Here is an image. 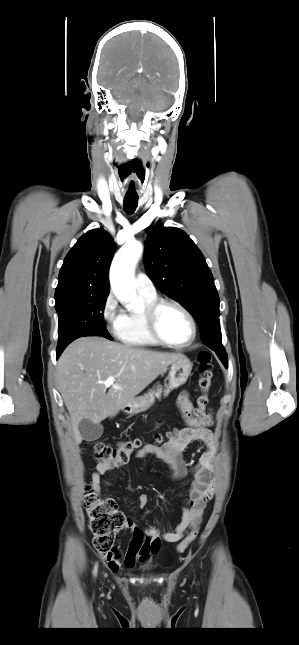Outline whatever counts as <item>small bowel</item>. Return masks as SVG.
<instances>
[{"label":"small bowel","mask_w":299,"mask_h":645,"mask_svg":"<svg viewBox=\"0 0 299 645\" xmlns=\"http://www.w3.org/2000/svg\"><path fill=\"white\" fill-rule=\"evenodd\" d=\"M178 408L185 421L186 427L181 429L178 435L162 447L145 445L137 450L135 458H146L154 456L162 460L169 469L170 479L179 481L191 473L193 480L190 484L186 505L183 507L182 518L173 531L161 532L152 525L144 529L139 528L131 519H127L125 528L133 531V539L127 551L122 554L117 547L106 554V561L110 568L122 564L132 568L138 561H145L150 556L158 553L161 543L177 542L181 540L188 531L197 526L204 514L207 502L214 494V482L210 478V472L214 470V457L217 446L216 437L211 430L213 419L210 413L200 420H193L194 411L192 402L187 393H183L178 399ZM201 442L205 449L200 453L195 464L190 465L184 458V451L189 444ZM118 466L109 463H99L92 474L91 486L96 494L100 493L103 485H109L102 477L108 472L117 470ZM138 506L144 509L149 503L147 494L142 493L137 499Z\"/></svg>","instance_id":"small-bowel-1"}]
</instances>
